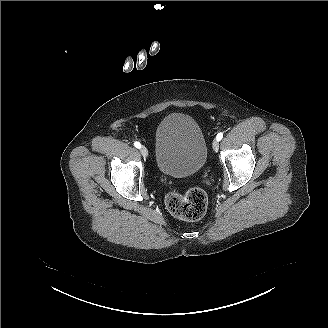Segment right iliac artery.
Returning a JSON list of instances; mask_svg holds the SVG:
<instances>
[{
    "mask_svg": "<svg viewBox=\"0 0 328 328\" xmlns=\"http://www.w3.org/2000/svg\"><path fill=\"white\" fill-rule=\"evenodd\" d=\"M134 146H135L136 148H140V147H141V144H140L139 142H135V143H134Z\"/></svg>",
    "mask_w": 328,
    "mask_h": 328,
    "instance_id": "1",
    "label": "right iliac artery"
}]
</instances>
